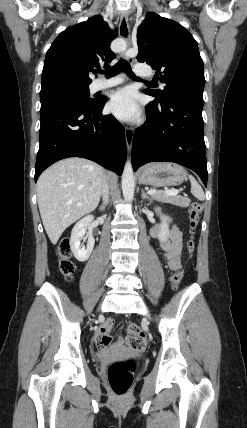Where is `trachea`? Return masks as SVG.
<instances>
[{"mask_svg": "<svg viewBox=\"0 0 247 428\" xmlns=\"http://www.w3.org/2000/svg\"><path fill=\"white\" fill-rule=\"evenodd\" d=\"M124 71L125 74L132 78V79H139L135 76V74L132 72L131 66L126 62V61H119L116 65H114L113 67H111L110 69H107L105 71H102V73L105 74V76L107 78H110L112 76H116L117 74H119L121 71Z\"/></svg>", "mask_w": 247, "mask_h": 428, "instance_id": "trachea-1", "label": "trachea"}]
</instances>
